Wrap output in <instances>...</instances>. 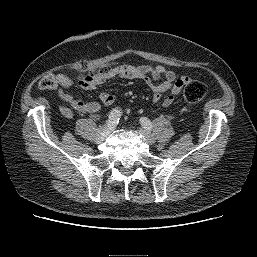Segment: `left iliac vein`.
<instances>
[{
    "label": "left iliac vein",
    "instance_id": "1",
    "mask_svg": "<svg viewBox=\"0 0 257 257\" xmlns=\"http://www.w3.org/2000/svg\"><path fill=\"white\" fill-rule=\"evenodd\" d=\"M138 131L147 144L152 145L155 143V138L150 132L146 131L143 128H140Z\"/></svg>",
    "mask_w": 257,
    "mask_h": 257
}]
</instances>
